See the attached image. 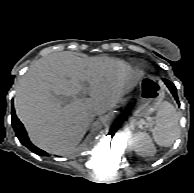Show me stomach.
<instances>
[{"mask_svg": "<svg viewBox=\"0 0 194 193\" xmlns=\"http://www.w3.org/2000/svg\"><path fill=\"white\" fill-rule=\"evenodd\" d=\"M138 103L135 115L146 117L159 108L165 92L162 82L157 78L146 77L139 81Z\"/></svg>", "mask_w": 194, "mask_h": 193, "instance_id": "0dacf381", "label": "stomach"}]
</instances>
